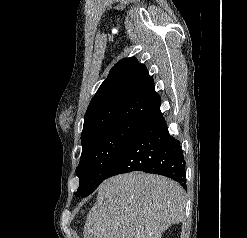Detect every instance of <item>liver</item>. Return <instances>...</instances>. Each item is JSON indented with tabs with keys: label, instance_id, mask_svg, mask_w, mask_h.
Instances as JSON below:
<instances>
[{
	"label": "liver",
	"instance_id": "6515ba94",
	"mask_svg": "<svg viewBox=\"0 0 247 238\" xmlns=\"http://www.w3.org/2000/svg\"><path fill=\"white\" fill-rule=\"evenodd\" d=\"M183 188L160 175L143 172L117 175L98 188L84 238H161L184 220Z\"/></svg>",
	"mask_w": 247,
	"mask_h": 238
}]
</instances>
